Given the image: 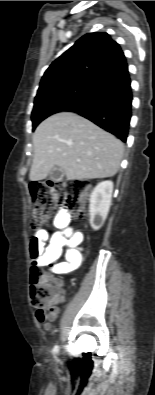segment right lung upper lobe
<instances>
[{"mask_svg":"<svg viewBox=\"0 0 155 395\" xmlns=\"http://www.w3.org/2000/svg\"><path fill=\"white\" fill-rule=\"evenodd\" d=\"M128 70L120 45L105 32L89 33L56 59L44 73L38 91L75 80L102 83Z\"/></svg>","mask_w":155,"mask_h":395,"instance_id":"obj_1","label":"right lung upper lobe"}]
</instances>
